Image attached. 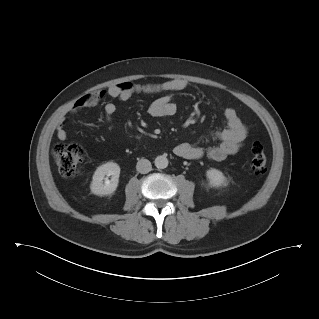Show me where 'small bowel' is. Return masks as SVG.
<instances>
[{
  "label": "small bowel",
  "instance_id": "c3829d8e",
  "mask_svg": "<svg viewBox=\"0 0 319 319\" xmlns=\"http://www.w3.org/2000/svg\"><path fill=\"white\" fill-rule=\"evenodd\" d=\"M188 87V82L181 78L170 79L162 83L153 84H114L105 90L87 94L78 98L70 107L69 111L75 114L85 108L99 105L106 97H111L119 101H127L134 95L140 94H160V96L149 107L148 113L157 119L170 118L177 112L174 102V94L184 91ZM117 110L114 102H107L104 105L106 121L110 122ZM226 126L223 130L215 133L220 140L217 146L203 149L188 142H181L174 147V153L188 160H197L207 156L214 161H221L236 153L244 144L248 129L241 121L235 109L228 107L224 110ZM67 120H63L56 129V137L59 140H66L68 133L66 130Z\"/></svg>",
  "mask_w": 319,
  "mask_h": 319
}]
</instances>
